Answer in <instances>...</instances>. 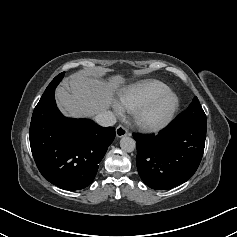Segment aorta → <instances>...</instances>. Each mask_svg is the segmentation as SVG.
Wrapping results in <instances>:
<instances>
[{
    "label": "aorta",
    "mask_w": 237,
    "mask_h": 237,
    "mask_svg": "<svg viewBox=\"0 0 237 237\" xmlns=\"http://www.w3.org/2000/svg\"><path fill=\"white\" fill-rule=\"evenodd\" d=\"M120 147L125 152H132L136 147V142L133 138L124 136L120 140Z\"/></svg>",
    "instance_id": "aorta-1"
}]
</instances>
